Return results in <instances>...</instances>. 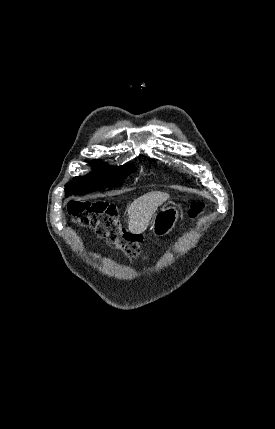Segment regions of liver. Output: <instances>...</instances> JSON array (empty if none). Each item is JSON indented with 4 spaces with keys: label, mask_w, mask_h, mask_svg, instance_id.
<instances>
[{
    "label": "liver",
    "mask_w": 275,
    "mask_h": 429,
    "mask_svg": "<svg viewBox=\"0 0 275 429\" xmlns=\"http://www.w3.org/2000/svg\"><path fill=\"white\" fill-rule=\"evenodd\" d=\"M169 194L153 191L135 199L128 208V229L133 234L143 233L156 212L157 208L164 203Z\"/></svg>",
    "instance_id": "6515ba94"
}]
</instances>
